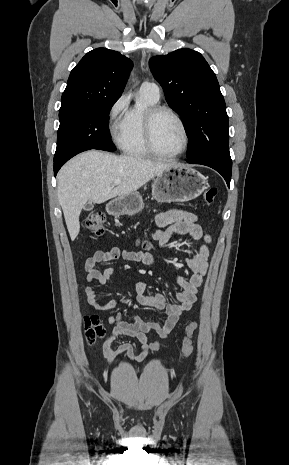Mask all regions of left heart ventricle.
Listing matches in <instances>:
<instances>
[{
    "instance_id": "1",
    "label": "left heart ventricle",
    "mask_w": 289,
    "mask_h": 465,
    "mask_svg": "<svg viewBox=\"0 0 289 465\" xmlns=\"http://www.w3.org/2000/svg\"><path fill=\"white\" fill-rule=\"evenodd\" d=\"M154 139L158 150L164 154H174L184 144V134L178 121L167 113L160 114L154 125Z\"/></svg>"
}]
</instances>
